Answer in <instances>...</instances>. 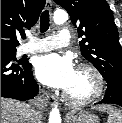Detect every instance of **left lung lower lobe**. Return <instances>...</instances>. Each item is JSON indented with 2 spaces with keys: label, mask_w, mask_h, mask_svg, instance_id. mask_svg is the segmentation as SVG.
<instances>
[{
  "label": "left lung lower lobe",
  "mask_w": 122,
  "mask_h": 123,
  "mask_svg": "<svg viewBox=\"0 0 122 123\" xmlns=\"http://www.w3.org/2000/svg\"><path fill=\"white\" fill-rule=\"evenodd\" d=\"M107 83L108 87L105 96L97 104H117L122 106V77H114Z\"/></svg>",
  "instance_id": "0a47b994"
}]
</instances>
